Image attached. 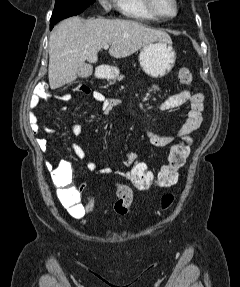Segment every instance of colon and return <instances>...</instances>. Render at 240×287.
Masks as SVG:
<instances>
[{
  "label": "colon",
  "mask_w": 240,
  "mask_h": 287,
  "mask_svg": "<svg viewBox=\"0 0 240 287\" xmlns=\"http://www.w3.org/2000/svg\"><path fill=\"white\" fill-rule=\"evenodd\" d=\"M178 78L182 84L192 88L193 76L190 70L181 68L178 73ZM40 93H42V91ZM191 141L192 139L190 136H183L180 143L174 144L170 148L166 162L156 171L153 170L146 161L139 157L127 169L126 179L139 190H147L151 186L169 187L175 184L178 180V171L189 156ZM51 175L54 183L61 187L62 193L68 191L72 193L76 191V188L71 185L72 169L67 161H60L53 169ZM96 199L97 196L95 193H91L87 197L84 203L87 214H91L94 211ZM173 200L174 197L172 194H165L161 198L162 210L170 208ZM132 201V189L126 184L117 185V200L114 203L115 212L120 216L128 214Z\"/></svg>",
  "instance_id": "1"
}]
</instances>
